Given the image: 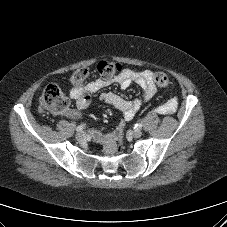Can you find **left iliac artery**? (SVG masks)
<instances>
[{"label":"left iliac artery","instance_id":"obj_1","mask_svg":"<svg viewBox=\"0 0 227 227\" xmlns=\"http://www.w3.org/2000/svg\"><path fill=\"white\" fill-rule=\"evenodd\" d=\"M135 127L140 129V128H142V124H141V123H137V124L135 125Z\"/></svg>","mask_w":227,"mask_h":227}]
</instances>
